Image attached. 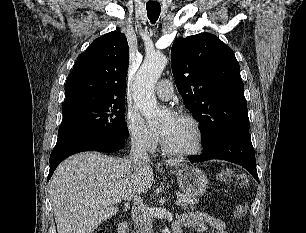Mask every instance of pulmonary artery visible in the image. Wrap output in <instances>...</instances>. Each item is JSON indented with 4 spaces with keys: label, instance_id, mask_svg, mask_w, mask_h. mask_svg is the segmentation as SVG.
I'll list each match as a JSON object with an SVG mask.
<instances>
[{
    "label": "pulmonary artery",
    "instance_id": "e3ab8cb5",
    "mask_svg": "<svg viewBox=\"0 0 306 233\" xmlns=\"http://www.w3.org/2000/svg\"><path fill=\"white\" fill-rule=\"evenodd\" d=\"M155 94L162 100L170 99L173 95L172 82L168 79L161 80L155 88Z\"/></svg>",
    "mask_w": 306,
    "mask_h": 233
}]
</instances>
